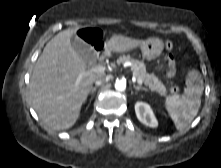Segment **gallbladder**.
Returning <instances> with one entry per match:
<instances>
[{
  "label": "gallbladder",
  "instance_id": "1",
  "mask_svg": "<svg viewBox=\"0 0 221 168\" xmlns=\"http://www.w3.org/2000/svg\"><path fill=\"white\" fill-rule=\"evenodd\" d=\"M71 45L75 52L87 63L93 64L96 60L92 47L80 38L72 37Z\"/></svg>",
  "mask_w": 221,
  "mask_h": 168
}]
</instances>
